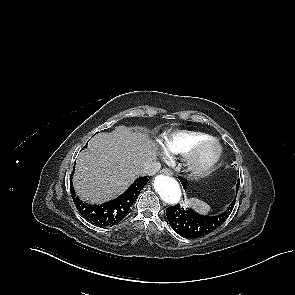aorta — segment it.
Instances as JSON below:
<instances>
[{
	"label": "aorta",
	"instance_id": "1",
	"mask_svg": "<svg viewBox=\"0 0 295 295\" xmlns=\"http://www.w3.org/2000/svg\"><path fill=\"white\" fill-rule=\"evenodd\" d=\"M154 189L161 199L168 204H178L182 197L179 183L172 177L158 175L155 177Z\"/></svg>",
	"mask_w": 295,
	"mask_h": 295
}]
</instances>
